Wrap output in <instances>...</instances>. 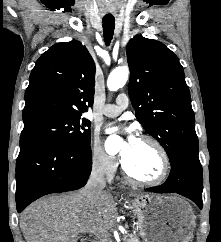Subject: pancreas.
Segmentation results:
<instances>
[{
	"mask_svg": "<svg viewBox=\"0 0 221 242\" xmlns=\"http://www.w3.org/2000/svg\"><path fill=\"white\" fill-rule=\"evenodd\" d=\"M124 242H140V241H139L138 237L133 235L131 237L125 238Z\"/></svg>",
	"mask_w": 221,
	"mask_h": 242,
	"instance_id": "1",
	"label": "pancreas"
}]
</instances>
